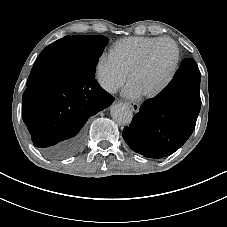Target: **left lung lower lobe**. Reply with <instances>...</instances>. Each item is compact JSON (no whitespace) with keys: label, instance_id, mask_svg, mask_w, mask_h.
<instances>
[{"label":"left lung lower lobe","instance_id":"left-lung-lower-lobe-1","mask_svg":"<svg viewBox=\"0 0 227 227\" xmlns=\"http://www.w3.org/2000/svg\"><path fill=\"white\" fill-rule=\"evenodd\" d=\"M200 71L193 59L182 61L168 86L141 105L123 138L148 158L174 153L192 134L201 107Z\"/></svg>","mask_w":227,"mask_h":227}]
</instances>
